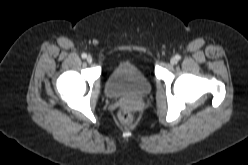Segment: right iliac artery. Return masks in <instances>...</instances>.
Segmentation results:
<instances>
[{"label":"right iliac artery","mask_w":248,"mask_h":165,"mask_svg":"<svg viewBox=\"0 0 248 165\" xmlns=\"http://www.w3.org/2000/svg\"><path fill=\"white\" fill-rule=\"evenodd\" d=\"M81 57L84 59V58L87 57V54L83 53V54L81 55Z\"/></svg>","instance_id":"right-iliac-artery-1"}]
</instances>
